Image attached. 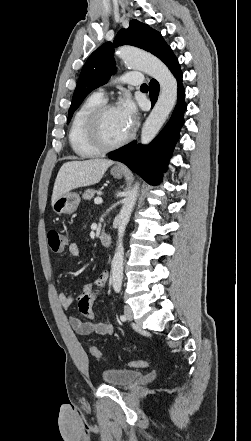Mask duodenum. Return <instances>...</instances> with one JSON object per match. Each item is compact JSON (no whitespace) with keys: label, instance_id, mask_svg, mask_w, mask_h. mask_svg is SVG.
<instances>
[{"label":"duodenum","instance_id":"duodenum-1","mask_svg":"<svg viewBox=\"0 0 251 441\" xmlns=\"http://www.w3.org/2000/svg\"><path fill=\"white\" fill-rule=\"evenodd\" d=\"M112 242V237L109 233H102L100 235V243L105 246L108 247L111 245Z\"/></svg>","mask_w":251,"mask_h":441}]
</instances>
